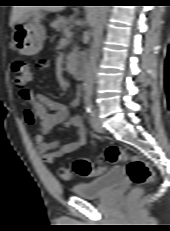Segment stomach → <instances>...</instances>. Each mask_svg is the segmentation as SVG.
<instances>
[{"label":"stomach","mask_w":170,"mask_h":231,"mask_svg":"<svg viewBox=\"0 0 170 231\" xmlns=\"http://www.w3.org/2000/svg\"><path fill=\"white\" fill-rule=\"evenodd\" d=\"M42 17L41 12H28L16 22L12 38L21 54L32 56L43 48L46 33L41 24Z\"/></svg>","instance_id":"stomach-1"}]
</instances>
